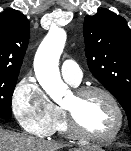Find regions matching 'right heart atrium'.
I'll return each instance as SVG.
<instances>
[{
  "label": "right heart atrium",
  "instance_id": "obj_1",
  "mask_svg": "<svg viewBox=\"0 0 131 151\" xmlns=\"http://www.w3.org/2000/svg\"><path fill=\"white\" fill-rule=\"evenodd\" d=\"M11 107L21 128L38 137L48 136L58 117L57 106L31 75L24 76L17 83Z\"/></svg>",
  "mask_w": 131,
  "mask_h": 151
}]
</instances>
